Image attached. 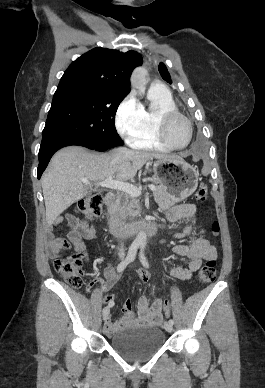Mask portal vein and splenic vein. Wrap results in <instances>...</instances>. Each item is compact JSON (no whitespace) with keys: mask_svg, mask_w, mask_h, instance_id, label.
Instances as JSON below:
<instances>
[{"mask_svg":"<svg viewBox=\"0 0 265 388\" xmlns=\"http://www.w3.org/2000/svg\"><path fill=\"white\" fill-rule=\"evenodd\" d=\"M81 182H83L85 186H90V182L87 178H81ZM96 186H102V188H112V190H122V192L130 194L133 198L141 196V188L132 186V184H127V182H116V180H113V176H109V178H106L104 182H97ZM148 188H150L152 192H156V186H148Z\"/></svg>","mask_w":265,"mask_h":388,"instance_id":"portal-vein-and-splenic-vein-1","label":"portal vein and splenic vein"}]
</instances>
